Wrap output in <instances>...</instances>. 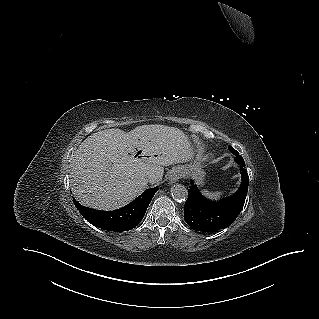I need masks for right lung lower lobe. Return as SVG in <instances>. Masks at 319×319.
<instances>
[{
	"label": "right lung lower lobe",
	"instance_id": "obj_1",
	"mask_svg": "<svg viewBox=\"0 0 319 319\" xmlns=\"http://www.w3.org/2000/svg\"><path fill=\"white\" fill-rule=\"evenodd\" d=\"M157 187L147 189L133 202L113 211H99L86 208L74 199L80 214L91 224L108 231L122 232L133 229L144 217Z\"/></svg>",
	"mask_w": 319,
	"mask_h": 319
}]
</instances>
